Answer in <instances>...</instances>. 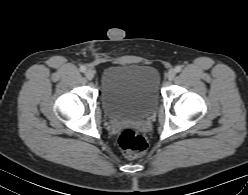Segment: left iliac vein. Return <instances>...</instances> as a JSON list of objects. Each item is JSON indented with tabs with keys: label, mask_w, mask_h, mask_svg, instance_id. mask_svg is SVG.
Instances as JSON below:
<instances>
[{
	"label": "left iliac vein",
	"mask_w": 248,
	"mask_h": 195,
	"mask_svg": "<svg viewBox=\"0 0 248 195\" xmlns=\"http://www.w3.org/2000/svg\"><path fill=\"white\" fill-rule=\"evenodd\" d=\"M176 76V71L174 69H170L167 73V78L169 80H173Z\"/></svg>",
	"instance_id": "4c4485c4"
}]
</instances>
